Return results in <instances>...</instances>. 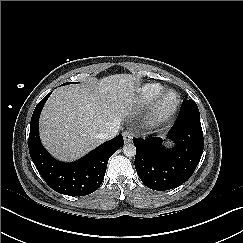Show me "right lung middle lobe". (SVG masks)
I'll use <instances>...</instances> for the list:
<instances>
[{
	"mask_svg": "<svg viewBox=\"0 0 243 243\" xmlns=\"http://www.w3.org/2000/svg\"><path fill=\"white\" fill-rule=\"evenodd\" d=\"M70 83H72V82H70ZM65 84H69V82H67V83H65Z\"/></svg>",
	"mask_w": 243,
	"mask_h": 243,
	"instance_id": "right-lung-middle-lobe-1",
	"label": "right lung middle lobe"
}]
</instances>
